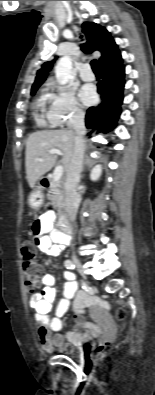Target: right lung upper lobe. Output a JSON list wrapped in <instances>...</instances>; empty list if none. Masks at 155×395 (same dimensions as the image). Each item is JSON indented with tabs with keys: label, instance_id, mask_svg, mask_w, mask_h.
<instances>
[{
	"label": "right lung upper lobe",
	"instance_id": "cb5924a9",
	"mask_svg": "<svg viewBox=\"0 0 155 395\" xmlns=\"http://www.w3.org/2000/svg\"><path fill=\"white\" fill-rule=\"evenodd\" d=\"M82 28L88 40L86 46L82 47V50L86 53H92L94 51L101 52V57L98 60L100 67L121 59L116 43L104 27L96 23L85 22L82 24ZM56 59L57 57L52 61L45 62L42 65V68L38 70L35 82L32 85L31 94L35 93L38 87L45 80L47 73L52 68Z\"/></svg>",
	"mask_w": 155,
	"mask_h": 395
}]
</instances>
